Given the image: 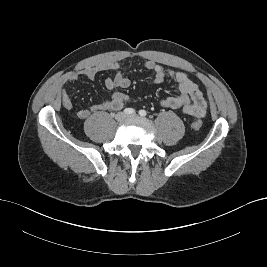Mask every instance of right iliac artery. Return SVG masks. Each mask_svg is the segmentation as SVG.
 I'll use <instances>...</instances> for the list:
<instances>
[{
    "label": "right iliac artery",
    "mask_w": 267,
    "mask_h": 267,
    "mask_svg": "<svg viewBox=\"0 0 267 267\" xmlns=\"http://www.w3.org/2000/svg\"><path fill=\"white\" fill-rule=\"evenodd\" d=\"M124 113L125 114H133V113H135V110L132 108H126V109H124Z\"/></svg>",
    "instance_id": "82829eb1"
}]
</instances>
